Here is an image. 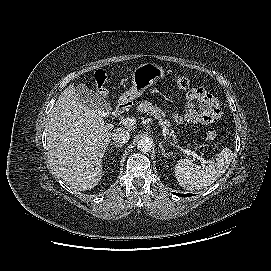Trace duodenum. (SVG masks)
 <instances>
[{
	"label": "duodenum",
	"instance_id": "1",
	"mask_svg": "<svg viewBox=\"0 0 271 271\" xmlns=\"http://www.w3.org/2000/svg\"><path fill=\"white\" fill-rule=\"evenodd\" d=\"M127 108V104L124 102H120L119 104H117V106L115 107L114 111H113V115L114 116H119L121 115Z\"/></svg>",
	"mask_w": 271,
	"mask_h": 271
}]
</instances>
